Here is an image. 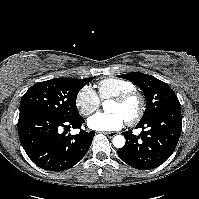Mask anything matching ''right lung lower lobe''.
Listing matches in <instances>:
<instances>
[{
  "label": "right lung lower lobe",
  "instance_id": "obj_1",
  "mask_svg": "<svg viewBox=\"0 0 199 199\" xmlns=\"http://www.w3.org/2000/svg\"><path fill=\"white\" fill-rule=\"evenodd\" d=\"M84 119H61L51 114L29 111L19 114L18 134L28 157L39 167L63 171L77 164L88 151L95 132L70 135Z\"/></svg>",
  "mask_w": 199,
  "mask_h": 199
}]
</instances>
